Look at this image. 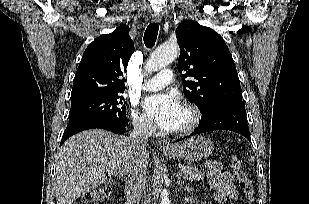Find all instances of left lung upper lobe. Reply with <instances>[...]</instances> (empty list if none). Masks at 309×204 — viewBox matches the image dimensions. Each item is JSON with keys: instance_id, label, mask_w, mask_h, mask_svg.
Masks as SVG:
<instances>
[{"instance_id": "1", "label": "left lung upper lobe", "mask_w": 309, "mask_h": 204, "mask_svg": "<svg viewBox=\"0 0 309 204\" xmlns=\"http://www.w3.org/2000/svg\"><path fill=\"white\" fill-rule=\"evenodd\" d=\"M178 71L184 94L204 114L228 102H242L238 73L223 38L213 29L185 20L176 29ZM186 77H192L185 81Z\"/></svg>"}]
</instances>
